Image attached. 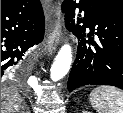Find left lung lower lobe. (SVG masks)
<instances>
[{
  "mask_svg": "<svg viewBox=\"0 0 123 113\" xmlns=\"http://www.w3.org/2000/svg\"><path fill=\"white\" fill-rule=\"evenodd\" d=\"M62 10L67 29L79 40L69 91L89 84L123 89V2L65 0Z\"/></svg>",
  "mask_w": 123,
  "mask_h": 113,
  "instance_id": "obj_1",
  "label": "left lung lower lobe"
}]
</instances>
